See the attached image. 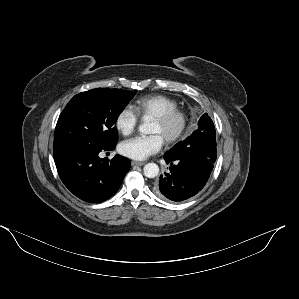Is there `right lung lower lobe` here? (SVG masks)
I'll return each mask as SVG.
<instances>
[{
    "mask_svg": "<svg viewBox=\"0 0 299 299\" xmlns=\"http://www.w3.org/2000/svg\"><path fill=\"white\" fill-rule=\"evenodd\" d=\"M112 148L73 146L54 152L58 174L78 198L99 203L113 196L130 168L129 159L115 155L111 160L98 154Z\"/></svg>",
    "mask_w": 299,
    "mask_h": 299,
    "instance_id": "obj_1",
    "label": "right lung lower lobe"
}]
</instances>
